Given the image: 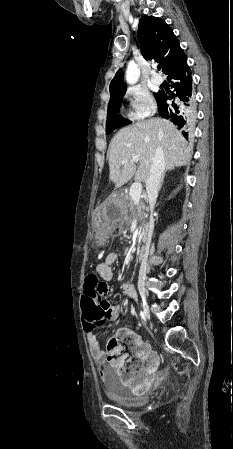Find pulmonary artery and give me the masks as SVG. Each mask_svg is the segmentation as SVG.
<instances>
[{"instance_id": "obj_1", "label": "pulmonary artery", "mask_w": 233, "mask_h": 449, "mask_svg": "<svg viewBox=\"0 0 233 449\" xmlns=\"http://www.w3.org/2000/svg\"><path fill=\"white\" fill-rule=\"evenodd\" d=\"M151 81H152L154 84H156V85H160V84H162L163 79H162V77H161L158 73L154 72V73L151 75Z\"/></svg>"}]
</instances>
